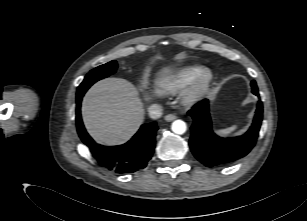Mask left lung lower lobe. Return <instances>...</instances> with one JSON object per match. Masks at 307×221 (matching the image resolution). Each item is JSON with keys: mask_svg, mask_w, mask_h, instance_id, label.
Here are the masks:
<instances>
[{"mask_svg": "<svg viewBox=\"0 0 307 221\" xmlns=\"http://www.w3.org/2000/svg\"><path fill=\"white\" fill-rule=\"evenodd\" d=\"M252 92L259 96L255 81ZM188 114L194 119L191 127L190 148L194 156L207 167L232 163L246 156L256 143L262 122L263 104H257L256 115L250 129L242 136L224 139L216 136L211 127L208 100L196 104Z\"/></svg>", "mask_w": 307, "mask_h": 221, "instance_id": "left-lung-lower-lobe-1", "label": "left lung lower lobe"}]
</instances>
